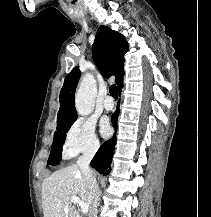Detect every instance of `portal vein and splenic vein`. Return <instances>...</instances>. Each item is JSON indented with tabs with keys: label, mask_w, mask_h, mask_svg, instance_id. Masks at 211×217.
<instances>
[{
	"label": "portal vein and splenic vein",
	"mask_w": 211,
	"mask_h": 217,
	"mask_svg": "<svg viewBox=\"0 0 211 217\" xmlns=\"http://www.w3.org/2000/svg\"><path fill=\"white\" fill-rule=\"evenodd\" d=\"M70 203L78 204L81 207V211L83 214L88 213L89 205L85 204L80 198L76 196H72L69 200ZM68 210V204L65 206V211Z\"/></svg>",
	"instance_id": "obj_1"
}]
</instances>
